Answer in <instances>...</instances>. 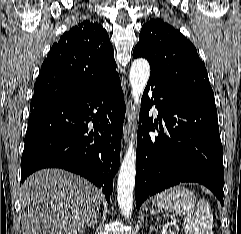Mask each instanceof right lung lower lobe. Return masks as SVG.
Masks as SVG:
<instances>
[{
	"instance_id": "obj_1",
	"label": "right lung lower lobe",
	"mask_w": 241,
	"mask_h": 234,
	"mask_svg": "<svg viewBox=\"0 0 241 234\" xmlns=\"http://www.w3.org/2000/svg\"><path fill=\"white\" fill-rule=\"evenodd\" d=\"M125 110L118 74L87 92L31 105L21 183L39 169L62 168L91 181L109 200Z\"/></svg>"
}]
</instances>
